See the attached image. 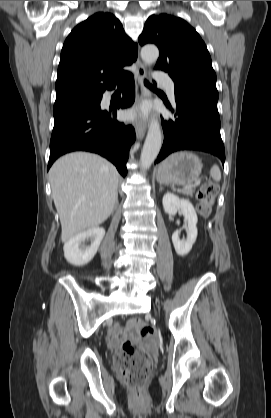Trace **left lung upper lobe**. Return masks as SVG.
<instances>
[{"label":"left lung upper lobe","instance_id":"obj_1","mask_svg":"<svg viewBox=\"0 0 271 418\" xmlns=\"http://www.w3.org/2000/svg\"><path fill=\"white\" fill-rule=\"evenodd\" d=\"M139 43L158 46L160 56L155 68L168 72L176 87L218 97L210 54L186 21L168 14L152 15L145 23Z\"/></svg>","mask_w":271,"mask_h":418}]
</instances>
